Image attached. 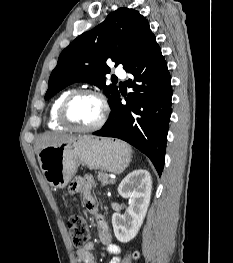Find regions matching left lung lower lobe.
<instances>
[{"instance_id":"obj_1","label":"left lung lower lobe","mask_w":233,"mask_h":263,"mask_svg":"<svg viewBox=\"0 0 233 263\" xmlns=\"http://www.w3.org/2000/svg\"><path fill=\"white\" fill-rule=\"evenodd\" d=\"M132 74L126 105L120 93L105 125L94 135L122 139L149 157L161 175L171 116L172 86L167 63L153 39L126 68Z\"/></svg>"}]
</instances>
